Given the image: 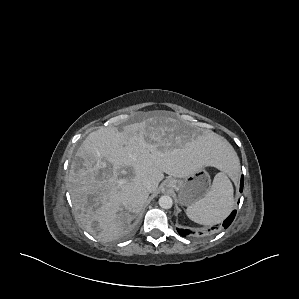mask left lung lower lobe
I'll list each match as a JSON object with an SVG mask.
<instances>
[{
	"label": "left lung lower lobe",
	"mask_w": 299,
	"mask_h": 299,
	"mask_svg": "<svg viewBox=\"0 0 299 299\" xmlns=\"http://www.w3.org/2000/svg\"><path fill=\"white\" fill-rule=\"evenodd\" d=\"M243 184H244V178H243V175L241 177V182H240V192L243 191ZM235 215H236V210H234L230 216L223 222V226L224 228H228L229 225L232 223V221L234 220L235 218ZM177 231L179 232L180 235L182 236H186V235H189L191 234L192 232L190 230H184V229H177Z\"/></svg>",
	"instance_id": "1"
}]
</instances>
